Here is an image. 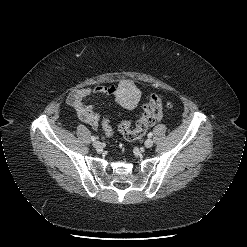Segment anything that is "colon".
Returning a JSON list of instances; mask_svg holds the SVG:
<instances>
[{
	"label": "colon",
	"instance_id": "colon-1",
	"mask_svg": "<svg viewBox=\"0 0 247 247\" xmlns=\"http://www.w3.org/2000/svg\"><path fill=\"white\" fill-rule=\"evenodd\" d=\"M172 105L170 100L158 95H152L149 102L144 105L143 113L135 127H132L129 121L123 120L119 124V130L123 137L129 141L140 139L144 136L148 128L153 126L158 120L159 113L163 109L172 108ZM102 129L107 136L112 135L113 129L108 118L103 120Z\"/></svg>",
	"mask_w": 247,
	"mask_h": 247
}]
</instances>
